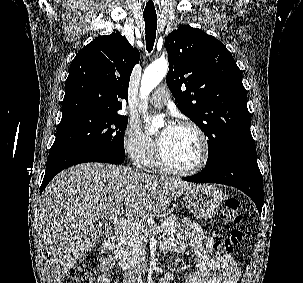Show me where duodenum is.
<instances>
[{
    "label": "duodenum",
    "instance_id": "duodenum-1",
    "mask_svg": "<svg viewBox=\"0 0 303 283\" xmlns=\"http://www.w3.org/2000/svg\"><path fill=\"white\" fill-rule=\"evenodd\" d=\"M117 232H112L108 235L106 248L112 250L115 246L117 239ZM151 268L148 264H140L129 270V276L131 279H137L147 275L150 272Z\"/></svg>",
    "mask_w": 303,
    "mask_h": 283
}]
</instances>
